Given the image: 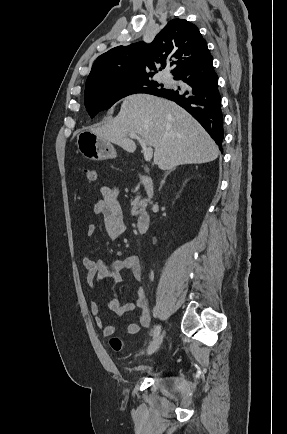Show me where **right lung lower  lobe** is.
I'll use <instances>...</instances> for the list:
<instances>
[{
  "label": "right lung lower lobe",
  "mask_w": 287,
  "mask_h": 434,
  "mask_svg": "<svg viewBox=\"0 0 287 434\" xmlns=\"http://www.w3.org/2000/svg\"><path fill=\"white\" fill-rule=\"evenodd\" d=\"M174 76V79L183 81L185 87H178L177 90L164 88L151 94L174 101L187 110L222 150L224 133L221 96L210 52Z\"/></svg>",
  "instance_id": "98d812e1"
}]
</instances>
